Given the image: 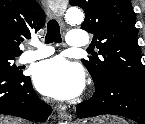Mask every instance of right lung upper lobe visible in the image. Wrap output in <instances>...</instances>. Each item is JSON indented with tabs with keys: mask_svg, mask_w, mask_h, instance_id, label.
Wrapping results in <instances>:
<instances>
[{
	"mask_svg": "<svg viewBox=\"0 0 145 124\" xmlns=\"http://www.w3.org/2000/svg\"><path fill=\"white\" fill-rule=\"evenodd\" d=\"M44 23V11L35 0H0V51L20 55L22 37H31Z\"/></svg>",
	"mask_w": 145,
	"mask_h": 124,
	"instance_id": "cb5924a9",
	"label": "right lung upper lobe"
}]
</instances>
